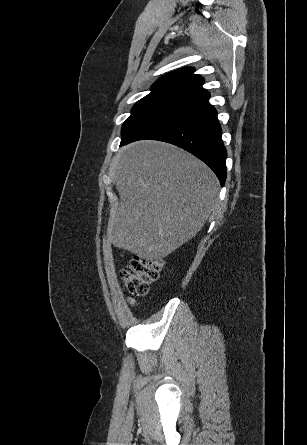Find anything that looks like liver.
Wrapping results in <instances>:
<instances>
[{
    "mask_svg": "<svg viewBox=\"0 0 307 445\" xmlns=\"http://www.w3.org/2000/svg\"><path fill=\"white\" fill-rule=\"evenodd\" d=\"M116 188L120 204L108 223V241L146 261H161L196 237L219 200L211 168L159 140L122 148Z\"/></svg>",
    "mask_w": 307,
    "mask_h": 445,
    "instance_id": "obj_1",
    "label": "liver"
}]
</instances>
